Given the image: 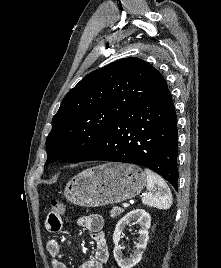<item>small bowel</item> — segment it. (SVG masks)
<instances>
[{
	"label": "small bowel",
	"mask_w": 221,
	"mask_h": 268,
	"mask_svg": "<svg viewBox=\"0 0 221 268\" xmlns=\"http://www.w3.org/2000/svg\"><path fill=\"white\" fill-rule=\"evenodd\" d=\"M77 223L80 227L87 229L91 233V237L96 243L94 258L85 261L79 268H104L109 257V249L103 231V217L99 214H90L80 217ZM45 226L49 232L58 233L63 228V220L61 216H55L49 213L45 221ZM46 248L52 259V268H67L66 264L59 260L62 252L60 242L50 239L47 242Z\"/></svg>",
	"instance_id": "obj_1"
}]
</instances>
